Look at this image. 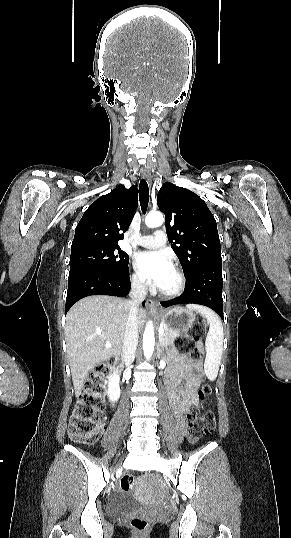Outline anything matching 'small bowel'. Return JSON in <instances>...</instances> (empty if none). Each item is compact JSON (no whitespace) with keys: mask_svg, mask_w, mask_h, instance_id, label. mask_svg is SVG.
Segmentation results:
<instances>
[{"mask_svg":"<svg viewBox=\"0 0 291 538\" xmlns=\"http://www.w3.org/2000/svg\"><path fill=\"white\" fill-rule=\"evenodd\" d=\"M180 381H184L185 383L183 390L178 386ZM166 383L174 413L180 424H182L183 415L187 409L198 403L196 395L198 371L183 357H176L166 375ZM188 440L191 443H195L197 438L188 435Z\"/></svg>","mask_w":291,"mask_h":538,"instance_id":"small-bowel-1","label":"small bowel"}]
</instances>
